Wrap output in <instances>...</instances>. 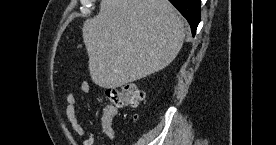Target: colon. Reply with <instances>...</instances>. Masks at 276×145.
I'll use <instances>...</instances> for the list:
<instances>
[{
    "mask_svg": "<svg viewBox=\"0 0 276 145\" xmlns=\"http://www.w3.org/2000/svg\"><path fill=\"white\" fill-rule=\"evenodd\" d=\"M109 105L103 108L106 117H112L117 108H137L144 103V92L132 83H127L120 88H109L106 91Z\"/></svg>",
    "mask_w": 276,
    "mask_h": 145,
    "instance_id": "5ec220e1",
    "label": "colon"
}]
</instances>
